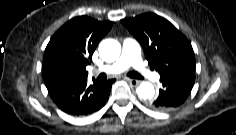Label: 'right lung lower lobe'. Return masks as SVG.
<instances>
[{
	"label": "right lung lower lobe",
	"instance_id": "obj_1",
	"mask_svg": "<svg viewBox=\"0 0 236 135\" xmlns=\"http://www.w3.org/2000/svg\"><path fill=\"white\" fill-rule=\"evenodd\" d=\"M48 92L56 105L72 116H84L101 109L108 100L115 79L87 84V76L53 68L43 71Z\"/></svg>",
	"mask_w": 236,
	"mask_h": 135
}]
</instances>
